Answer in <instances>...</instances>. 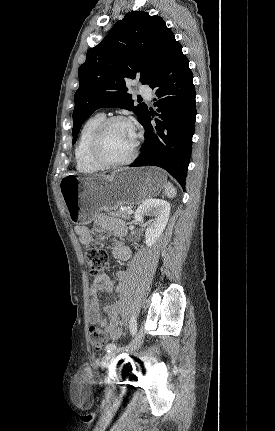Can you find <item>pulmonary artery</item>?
<instances>
[{"label":"pulmonary artery","instance_id":"pulmonary-artery-1","mask_svg":"<svg viewBox=\"0 0 275 431\" xmlns=\"http://www.w3.org/2000/svg\"><path fill=\"white\" fill-rule=\"evenodd\" d=\"M140 93L144 95L147 99H151V89L148 86H141L139 89Z\"/></svg>","mask_w":275,"mask_h":431}]
</instances>
